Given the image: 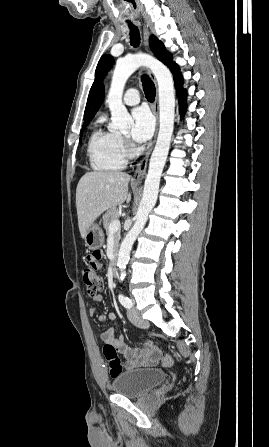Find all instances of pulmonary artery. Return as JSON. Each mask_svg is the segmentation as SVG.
Masks as SVG:
<instances>
[{"instance_id":"pulmonary-artery-1","label":"pulmonary artery","mask_w":269,"mask_h":447,"mask_svg":"<svg viewBox=\"0 0 269 447\" xmlns=\"http://www.w3.org/2000/svg\"><path fill=\"white\" fill-rule=\"evenodd\" d=\"M141 100L140 91L137 88H129L123 96V103L126 105H137Z\"/></svg>"}]
</instances>
